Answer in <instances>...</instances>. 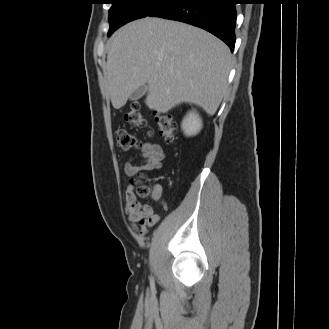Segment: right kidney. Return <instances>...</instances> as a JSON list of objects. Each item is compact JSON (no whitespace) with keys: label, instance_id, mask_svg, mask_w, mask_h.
I'll use <instances>...</instances> for the list:
<instances>
[{"label":"right kidney","instance_id":"1","mask_svg":"<svg viewBox=\"0 0 329 329\" xmlns=\"http://www.w3.org/2000/svg\"><path fill=\"white\" fill-rule=\"evenodd\" d=\"M202 128V121L194 111L189 112L182 121V130L185 135H196Z\"/></svg>","mask_w":329,"mask_h":329}]
</instances>
